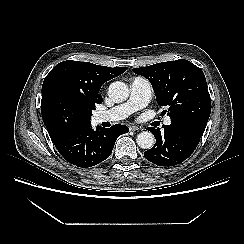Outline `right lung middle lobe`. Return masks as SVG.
<instances>
[{"instance_id":"dd1d6c3e","label":"right lung middle lobe","mask_w":244,"mask_h":244,"mask_svg":"<svg viewBox=\"0 0 244 244\" xmlns=\"http://www.w3.org/2000/svg\"><path fill=\"white\" fill-rule=\"evenodd\" d=\"M92 110L75 102L59 89H53L48 95L42 116L51 130L61 132L91 124Z\"/></svg>"}]
</instances>
